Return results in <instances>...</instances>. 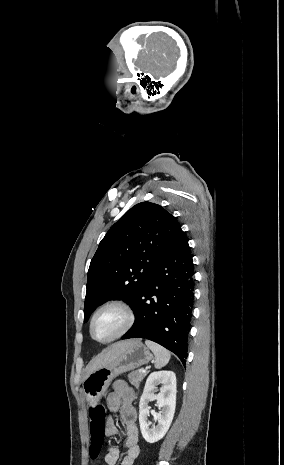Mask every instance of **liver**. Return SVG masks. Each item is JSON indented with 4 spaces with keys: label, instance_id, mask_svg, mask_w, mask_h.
<instances>
[{
    "label": "liver",
    "instance_id": "1",
    "mask_svg": "<svg viewBox=\"0 0 284 465\" xmlns=\"http://www.w3.org/2000/svg\"><path fill=\"white\" fill-rule=\"evenodd\" d=\"M128 343H131V341H119V343H114V345L110 347V351L103 353V355H100L97 359H93V361H91V365H88L87 367V373L84 379H86L90 373H93V371H97V369H101V367H105V365L114 361V359L118 357L119 353H123V351H125Z\"/></svg>",
    "mask_w": 284,
    "mask_h": 465
}]
</instances>
